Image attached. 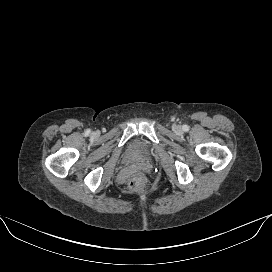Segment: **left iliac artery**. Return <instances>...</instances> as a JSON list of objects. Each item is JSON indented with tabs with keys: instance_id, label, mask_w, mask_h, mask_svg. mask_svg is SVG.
Masks as SVG:
<instances>
[{
	"instance_id": "obj_1",
	"label": "left iliac artery",
	"mask_w": 272,
	"mask_h": 272,
	"mask_svg": "<svg viewBox=\"0 0 272 272\" xmlns=\"http://www.w3.org/2000/svg\"><path fill=\"white\" fill-rule=\"evenodd\" d=\"M183 130H184V131H188V130H189V127H188L187 125H184V126H183Z\"/></svg>"
}]
</instances>
